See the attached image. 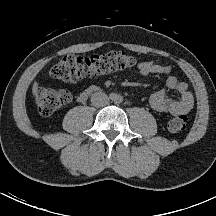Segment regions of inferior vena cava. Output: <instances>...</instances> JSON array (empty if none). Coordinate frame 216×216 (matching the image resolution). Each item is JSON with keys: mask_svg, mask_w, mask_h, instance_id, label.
I'll return each mask as SVG.
<instances>
[{"mask_svg": "<svg viewBox=\"0 0 216 216\" xmlns=\"http://www.w3.org/2000/svg\"><path fill=\"white\" fill-rule=\"evenodd\" d=\"M109 98L103 92H96L91 96V103L95 107H104L108 104Z\"/></svg>", "mask_w": 216, "mask_h": 216, "instance_id": "obj_1", "label": "inferior vena cava"}]
</instances>
